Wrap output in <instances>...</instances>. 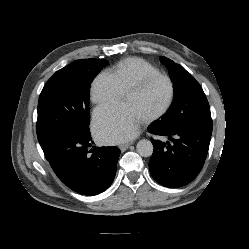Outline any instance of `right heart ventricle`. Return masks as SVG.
<instances>
[{"instance_id":"right-heart-ventricle-1","label":"right heart ventricle","mask_w":249,"mask_h":249,"mask_svg":"<svg viewBox=\"0 0 249 249\" xmlns=\"http://www.w3.org/2000/svg\"><path fill=\"white\" fill-rule=\"evenodd\" d=\"M160 71L148 61L130 57L118 62L111 71V75L118 83L122 92L147 75L159 74Z\"/></svg>"}]
</instances>
